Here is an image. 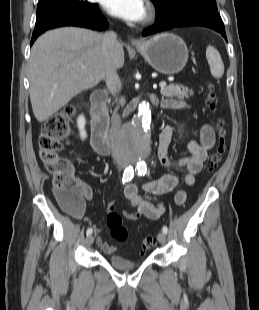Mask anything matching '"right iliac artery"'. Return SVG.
<instances>
[{
  "label": "right iliac artery",
  "instance_id": "obj_1",
  "mask_svg": "<svg viewBox=\"0 0 259 310\" xmlns=\"http://www.w3.org/2000/svg\"><path fill=\"white\" fill-rule=\"evenodd\" d=\"M133 177H134V170H133V167H132V166H129V167H127V168L124 170L122 182H123V183L128 182V181H130ZM92 232H93V231H92L91 228L87 229V235H91Z\"/></svg>",
  "mask_w": 259,
  "mask_h": 310
}]
</instances>
